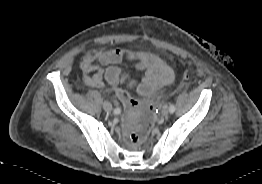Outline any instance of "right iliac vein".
<instances>
[{
    "mask_svg": "<svg viewBox=\"0 0 262 184\" xmlns=\"http://www.w3.org/2000/svg\"><path fill=\"white\" fill-rule=\"evenodd\" d=\"M103 108L106 112H111L112 111V104L108 101H105L103 103Z\"/></svg>",
    "mask_w": 262,
    "mask_h": 184,
    "instance_id": "1",
    "label": "right iliac vein"
}]
</instances>
